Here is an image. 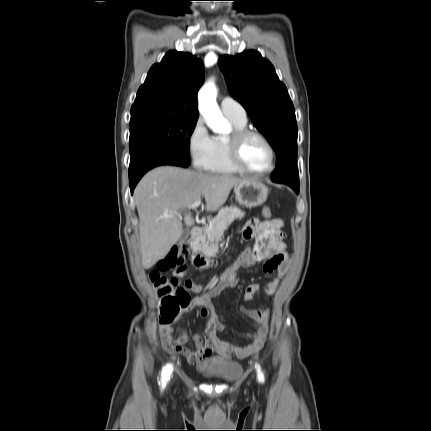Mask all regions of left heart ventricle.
Masks as SVG:
<instances>
[{"label":"left heart ventricle","instance_id":"1","mask_svg":"<svg viewBox=\"0 0 431 431\" xmlns=\"http://www.w3.org/2000/svg\"><path fill=\"white\" fill-rule=\"evenodd\" d=\"M244 163L255 170H265L271 164V155L264 142L257 137H249L241 148Z\"/></svg>","mask_w":431,"mask_h":431}]
</instances>
